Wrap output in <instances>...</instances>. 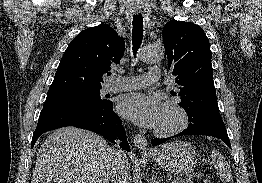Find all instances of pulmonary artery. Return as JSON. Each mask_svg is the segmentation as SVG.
<instances>
[{"label": "pulmonary artery", "instance_id": "pulmonary-artery-1", "mask_svg": "<svg viewBox=\"0 0 262 183\" xmlns=\"http://www.w3.org/2000/svg\"><path fill=\"white\" fill-rule=\"evenodd\" d=\"M161 71L158 68H152L146 75L137 76H117L115 81L106 86L107 92L129 91L144 88L160 79Z\"/></svg>", "mask_w": 262, "mask_h": 183}]
</instances>
